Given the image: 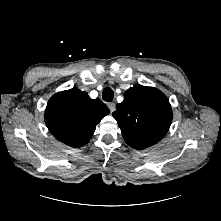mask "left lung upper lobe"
<instances>
[{
  "label": "left lung upper lobe",
  "instance_id": "1",
  "mask_svg": "<svg viewBox=\"0 0 221 221\" xmlns=\"http://www.w3.org/2000/svg\"><path fill=\"white\" fill-rule=\"evenodd\" d=\"M113 112L126 143L134 149L156 144L168 132L172 110L167 97L154 87L135 85Z\"/></svg>",
  "mask_w": 221,
  "mask_h": 221
}]
</instances>
